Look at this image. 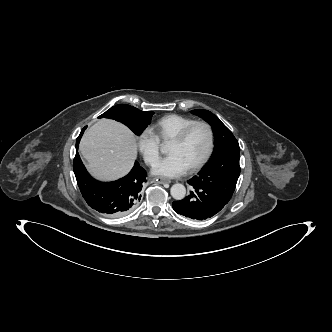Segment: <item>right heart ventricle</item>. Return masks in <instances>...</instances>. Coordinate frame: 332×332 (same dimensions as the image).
<instances>
[{
    "label": "right heart ventricle",
    "instance_id": "1",
    "mask_svg": "<svg viewBox=\"0 0 332 332\" xmlns=\"http://www.w3.org/2000/svg\"><path fill=\"white\" fill-rule=\"evenodd\" d=\"M194 119L188 116L179 114L166 115L157 120L151 130L161 141L171 140L182 128L189 123L193 122Z\"/></svg>",
    "mask_w": 332,
    "mask_h": 332
}]
</instances>
